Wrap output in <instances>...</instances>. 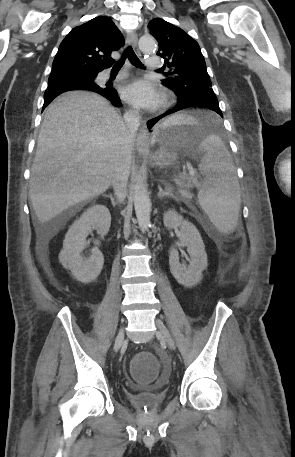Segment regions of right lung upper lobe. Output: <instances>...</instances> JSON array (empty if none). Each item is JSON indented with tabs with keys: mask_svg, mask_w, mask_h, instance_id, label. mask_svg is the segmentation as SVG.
<instances>
[{
	"mask_svg": "<svg viewBox=\"0 0 295 457\" xmlns=\"http://www.w3.org/2000/svg\"><path fill=\"white\" fill-rule=\"evenodd\" d=\"M123 45L121 32L107 17L77 26L61 42L48 81L97 76L113 64L111 52Z\"/></svg>",
	"mask_w": 295,
	"mask_h": 457,
	"instance_id": "1",
	"label": "right lung upper lobe"
}]
</instances>
